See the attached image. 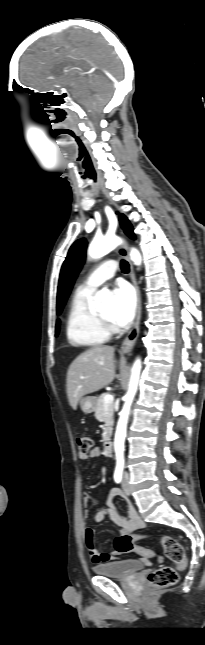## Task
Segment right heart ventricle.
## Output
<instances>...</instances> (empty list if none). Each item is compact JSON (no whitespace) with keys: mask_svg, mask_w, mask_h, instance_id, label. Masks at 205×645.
Segmentation results:
<instances>
[{"mask_svg":"<svg viewBox=\"0 0 205 645\" xmlns=\"http://www.w3.org/2000/svg\"><path fill=\"white\" fill-rule=\"evenodd\" d=\"M91 298L92 292L79 289L72 297L66 323L67 339L72 345L94 347L109 338V332L91 307Z\"/></svg>","mask_w":205,"mask_h":645,"instance_id":"1","label":"right heart ventricle"}]
</instances>
